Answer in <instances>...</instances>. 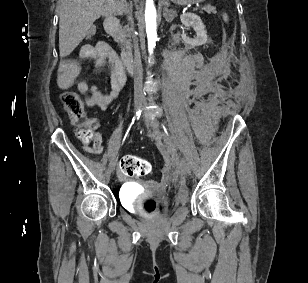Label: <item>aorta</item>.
Instances as JSON below:
<instances>
[{
  "label": "aorta",
  "mask_w": 308,
  "mask_h": 283,
  "mask_svg": "<svg viewBox=\"0 0 308 283\" xmlns=\"http://www.w3.org/2000/svg\"><path fill=\"white\" fill-rule=\"evenodd\" d=\"M156 19H157V13L153 0H146L145 23H146V33L148 38V49L150 54L153 52L157 40Z\"/></svg>",
  "instance_id": "aorta-1"
}]
</instances>
